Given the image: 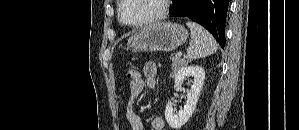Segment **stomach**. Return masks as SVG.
<instances>
[{"mask_svg": "<svg viewBox=\"0 0 299 130\" xmlns=\"http://www.w3.org/2000/svg\"><path fill=\"white\" fill-rule=\"evenodd\" d=\"M188 36V31L181 24L160 22L133 34L127 41V49L132 52H170L184 44Z\"/></svg>", "mask_w": 299, "mask_h": 130, "instance_id": "1", "label": "stomach"}]
</instances>
